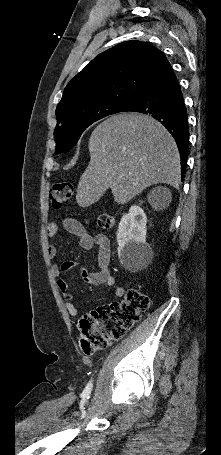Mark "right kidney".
<instances>
[{
    "instance_id": "right-kidney-1",
    "label": "right kidney",
    "mask_w": 221,
    "mask_h": 455,
    "mask_svg": "<svg viewBox=\"0 0 221 455\" xmlns=\"http://www.w3.org/2000/svg\"><path fill=\"white\" fill-rule=\"evenodd\" d=\"M147 217L143 209L131 206L119 223L117 232L118 257L128 270L143 266L151 257L152 250L146 243Z\"/></svg>"
}]
</instances>
